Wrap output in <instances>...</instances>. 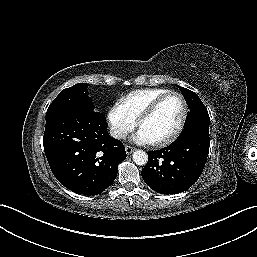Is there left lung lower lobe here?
I'll use <instances>...</instances> for the list:
<instances>
[{
    "label": "left lung lower lobe",
    "instance_id": "1",
    "mask_svg": "<svg viewBox=\"0 0 257 257\" xmlns=\"http://www.w3.org/2000/svg\"><path fill=\"white\" fill-rule=\"evenodd\" d=\"M209 146L208 134L192 133L166 148L148 152V162L141 172L143 180L161 194L188 190L204 169Z\"/></svg>",
    "mask_w": 257,
    "mask_h": 257
}]
</instances>
